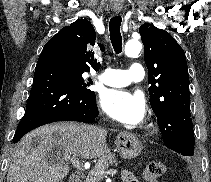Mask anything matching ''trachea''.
Masks as SVG:
<instances>
[{
  "instance_id": "1",
  "label": "trachea",
  "mask_w": 211,
  "mask_h": 182,
  "mask_svg": "<svg viewBox=\"0 0 211 182\" xmlns=\"http://www.w3.org/2000/svg\"><path fill=\"white\" fill-rule=\"evenodd\" d=\"M121 21L122 19L120 16H114L109 22L110 40L116 53H121L122 51V37L120 32Z\"/></svg>"
}]
</instances>
